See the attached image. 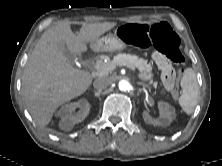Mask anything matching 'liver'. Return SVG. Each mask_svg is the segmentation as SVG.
I'll list each match as a JSON object with an SVG mask.
<instances>
[{
	"label": "liver",
	"mask_w": 222,
	"mask_h": 166,
	"mask_svg": "<svg viewBox=\"0 0 222 166\" xmlns=\"http://www.w3.org/2000/svg\"><path fill=\"white\" fill-rule=\"evenodd\" d=\"M115 26V22L83 24L75 35L70 22L62 21L42 34L22 78L26 107L39 126L48 125L59 106L83 94L92 83L90 72L67 61L63 47L72 53L85 52L87 43L92 44Z\"/></svg>",
	"instance_id": "1"
}]
</instances>
